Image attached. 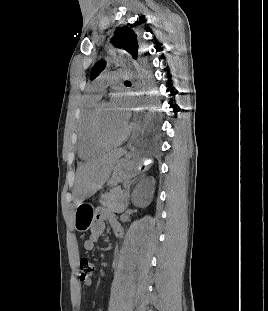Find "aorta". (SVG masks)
I'll return each instance as SVG.
<instances>
[{
  "label": "aorta",
  "instance_id": "aorta-1",
  "mask_svg": "<svg viewBox=\"0 0 268 311\" xmlns=\"http://www.w3.org/2000/svg\"><path fill=\"white\" fill-rule=\"evenodd\" d=\"M127 72L131 79H136L138 76L134 68H129Z\"/></svg>",
  "mask_w": 268,
  "mask_h": 311
}]
</instances>
